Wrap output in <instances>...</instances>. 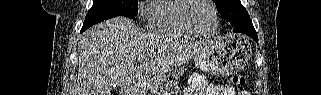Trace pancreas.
<instances>
[{
  "label": "pancreas",
  "mask_w": 321,
  "mask_h": 95,
  "mask_svg": "<svg viewBox=\"0 0 321 95\" xmlns=\"http://www.w3.org/2000/svg\"><path fill=\"white\" fill-rule=\"evenodd\" d=\"M179 86L177 81H166L156 84L151 88L153 95H173L178 92Z\"/></svg>",
  "instance_id": "obj_1"
}]
</instances>
